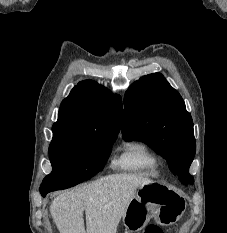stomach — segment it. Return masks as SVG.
<instances>
[{"label":"stomach","mask_w":227,"mask_h":233,"mask_svg":"<svg viewBox=\"0 0 227 233\" xmlns=\"http://www.w3.org/2000/svg\"><path fill=\"white\" fill-rule=\"evenodd\" d=\"M185 208L181 193L164 183L153 182L138 188L122 220L130 231L143 229L151 218L161 225H171L181 218Z\"/></svg>","instance_id":"1"}]
</instances>
